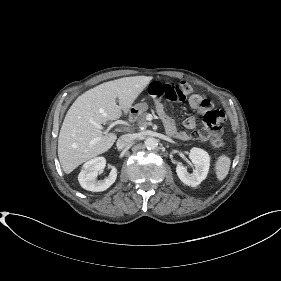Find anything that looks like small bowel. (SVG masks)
I'll list each match as a JSON object with an SVG mask.
<instances>
[{"mask_svg": "<svg viewBox=\"0 0 281 281\" xmlns=\"http://www.w3.org/2000/svg\"><path fill=\"white\" fill-rule=\"evenodd\" d=\"M189 105L193 109H196L199 111H205V110H208L209 108H211L212 103L208 99L204 98L203 96H201L199 94H193L189 98ZM155 106H156L157 113H158L160 119L162 120L163 125H164L165 130L168 135L178 138L180 140H189V139L196 138L197 131L195 130L196 121H195L194 117H192V116L188 117L183 122V126L185 127V129L192 131V132L189 133L186 131H181L176 127L175 122L167 114L164 105L160 101H157L155 103Z\"/></svg>", "mask_w": 281, "mask_h": 281, "instance_id": "c3829d8e", "label": "small bowel"}]
</instances>
